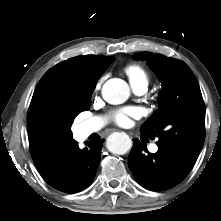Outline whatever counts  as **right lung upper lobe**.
I'll return each instance as SVG.
<instances>
[{"instance_id":"cb5924a9","label":"right lung upper lobe","mask_w":221,"mask_h":221,"mask_svg":"<svg viewBox=\"0 0 221 221\" xmlns=\"http://www.w3.org/2000/svg\"><path fill=\"white\" fill-rule=\"evenodd\" d=\"M113 59L106 56L73 57L55 65L41 78L27 114L30 153L35 165L74 141L68 105L95 89ZM49 127L54 128L52 136L46 134Z\"/></svg>"}]
</instances>
